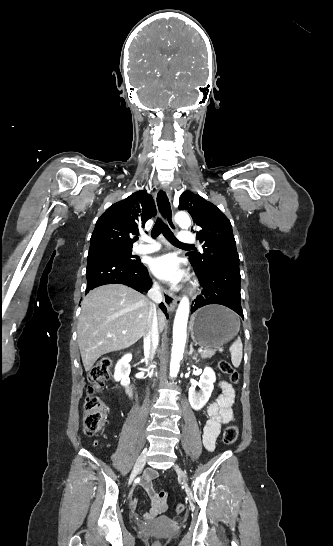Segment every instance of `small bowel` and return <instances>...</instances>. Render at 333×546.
<instances>
[{"label": "small bowel", "mask_w": 333, "mask_h": 546, "mask_svg": "<svg viewBox=\"0 0 333 546\" xmlns=\"http://www.w3.org/2000/svg\"><path fill=\"white\" fill-rule=\"evenodd\" d=\"M220 394L214 403L207 407L208 420L203 430L202 441L206 450L212 451L216 445V439L221 431V426L235 421L233 403L235 390L231 384L222 380L217 383ZM158 477L156 469L150 468L141 480V485L150 498V510L143 518L149 520L161 514L167 508V496L163 491H157L153 485ZM128 506L133 511L137 506L136 499H130Z\"/></svg>", "instance_id": "1"}]
</instances>
